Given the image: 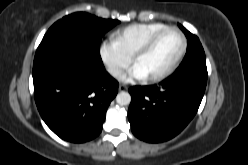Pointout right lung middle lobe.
Listing matches in <instances>:
<instances>
[{
	"label": "right lung middle lobe",
	"mask_w": 248,
	"mask_h": 165,
	"mask_svg": "<svg viewBox=\"0 0 248 165\" xmlns=\"http://www.w3.org/2000/svg\"><path fill=\"white\" fill-rule=\"evenodd\" d=\"M118 23V20L102 19L84 12L73 13L54 23L39 47L60 40H74L85 44L100 57L102 36Z\"/></svg>",
	"instance_id": "dd1d6c3e"
}]
</instances>
